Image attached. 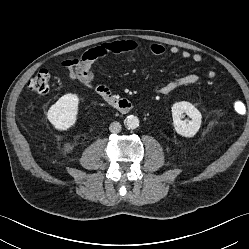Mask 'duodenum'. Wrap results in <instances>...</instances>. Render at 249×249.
<instances>
[{
    "instance_id": "obj_1",
    "label": "duodenum",
    "mask_w": 249,
    "mask_h": 249,
    "mask_svg": "<svg viewBox=\"0 0 249 249\" xmlns=\"http://www.w3.org/2000/svg\"><path fill=\"white\" fill-rule=\"evenodd\" d=\"M111 107L120 113H128L133 108V103L123 97L113 94L111 91L103 93L101 96Z\"/></svg>"
}]
</instances>
